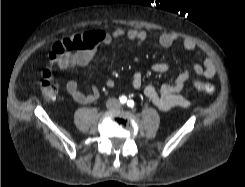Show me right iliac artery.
Wrapping results in <instances>:
<instances>
[{"label": "right iliac artery", "mask_w": 245, "mask_h": 187, "mask_svg": "<svg viewBox=\"0 0 245 187\" xmlns=\"http://www.w3.org/2000/svg\"><path fill=\"white\" fill-rule=\"evenodd\" d=\"M126 101H127V97H126V96H121V97H120V103H121V104H125Z\"/></svg>", "instance_id": "82829eb1"}]
</instances>
